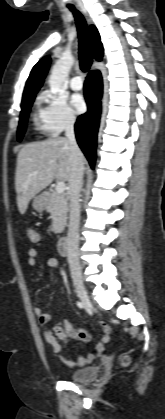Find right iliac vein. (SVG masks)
I'll list each match as a JSON object with an SVG mask.
<instances>
[{
	"instance_id": "63e3f726",
	"label": "right iliac vein",
	"mask_w": 165,
	"mask_h": 419,
	"mask_svg": "<svg viewBox=\"0 0 165 419\" xmlns=\"http://www.w3.org/2000/svg\"><path fill=\"white\" fill-rule=\"evenodd\" d=\"M73 285L83 305L88 308L91 307V301L82 279L74 278Z\"/></svg>"
}]
</instances>
